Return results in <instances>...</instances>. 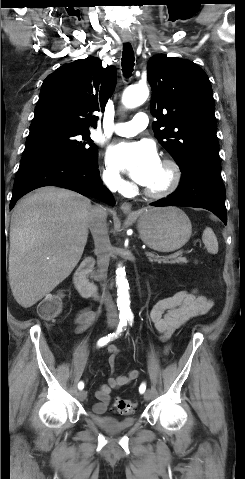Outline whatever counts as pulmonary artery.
I'll return each mask as SVG.
<instances>
[{
	"label": "pulmonary artery",
	"instance_id": "1",
	"mask_svg": "<svg viewBox=\"0 0 245 479\" xmlns=\"http://www.w3.org/2000/svg\"><path fill=\"white\" fill-rule=\"evenodd\" d=\"M149 118L146 113H136L131 121L124 123H117L113 127V131L120 136H134L138 132L145 129L148 125Z\"/></svg>",
	"mask_w": 245,
	"mask_h": 479
}]
</instances>
